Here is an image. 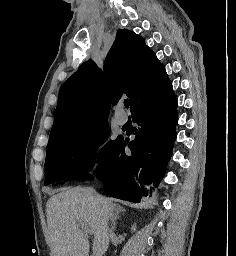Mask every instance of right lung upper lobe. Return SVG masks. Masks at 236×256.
<instances>
[{
    "mask_svg": "<svg viewBox=\"0 0 236 256\" xmlns=\"http://www.w3.org/2000/svg\"><path fill=\"white\" fill-rule=\"evenodd\" d=\"M168 81L164 66L144 39L121 29L103 72L88 60L61 87L49 140L82 125L107 120L110 103L115 105L123 94L130 99L132 111Z\"/></svg>",
    "mask_w": 236,
    "mask_h": 256,
    "instance_id": "right-lung-upper-lobe-1",
    "label": "right lung upper lobe"
}]
</instances>
